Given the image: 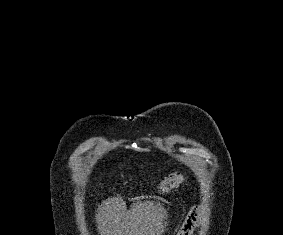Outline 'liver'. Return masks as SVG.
<instances>
[{
	"instance_id": "liver-1",
	"label": "liver",
	"mask_w": 283,
	"mask_h": 235,
	"mask_svg": "<svg viewBox=\"0 0 283 235\" xmlns=\"http://www.w3.org/2000/svg\"><path fill=\"white\" fill-rule=\"evenodd\" d=\"M166 216L160 203L138 199L127 210L121 198L111 197L99 206L96 223L100 235H161Z\"/></svg>"
}]
</instances>
